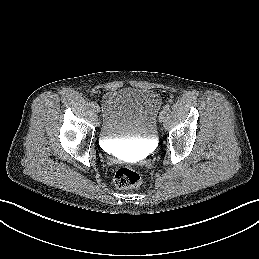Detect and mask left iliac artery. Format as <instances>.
<instances>
[{
	"label": "left iliac artery",
	"mask_w": 259,
	"mask_h": 259,
	"mask_svg": "<svg viewBox=\"0 0 259 259\" xmlns=\"http://www.w3.org/2000/svg\"><path fill=\"white\" fill-rule=\"evenodd\" d=\"M170 109V105L169 104H166L164 107H163V110L164 111H169Z\"/></svg>",
	"instance_id": "1"
}]
</instances>
